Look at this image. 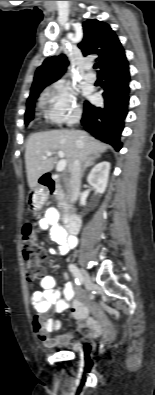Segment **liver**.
<instances>
[{
	"label": "liver",
	"instance_id": "6515ba94",
	"mask_svg": "<svg viewBox=\"0 0 155 395\" xmlns=\"http://www.w3.org/2000/svg\"><path fill=\"white\" fill-rule=\"evenodd\" d=\"M108 147L80 130H54L32 134L27 140L25 151L28 185L31 189L35 188L39 178L53 169L55 158H42L48 151H63L70 171L76 159L86 162L91 156L105 152Z\"/></svg>",
	"mask_w": 155,
	"mask_h": 395
}]
</instances>
